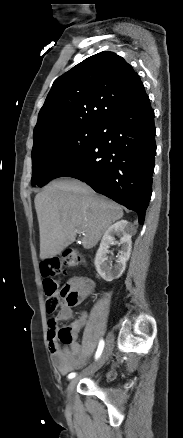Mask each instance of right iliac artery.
Here are the masks:
<instances>
[{
    "label": "right iliac artery",
    "mask_w": 183,
    "mask_h": 438,
    "mask_svg": "<svg viewBox=\"0 0 183 438\" xmlns=\"http://www.w3.org/2000/svg\"><path fill=\"white\" fill-rule=\"evenodd\" d=\"M103 348H104V341L103 340H101L100 341V343H99V345H98V349H97V351H96V355H95V359H98L99 357H100V355H101V353H102V351H103ZM76 376V373H70L69 375H68V378L69 379H72V378H74Z\"/></svg>",
    "instance_id": "82829eb1"
}]
</instances>
